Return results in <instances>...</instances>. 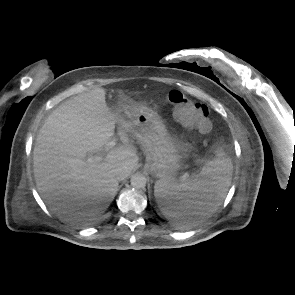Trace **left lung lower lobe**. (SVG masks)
<instances>
[{"instance_id": "left-lung-lower-lobe-1", "label": "left lung lower lobe", "mask_w": 295, "mask_h": 295, "mask_svg": "<svg viewBox=\"0 0 295 295\" xmlns=\"http://www.w3.org/2000/svg\"><path fill=\"white\" fill-rule=\"evenodd\" d=\"M192 212L195 213V214H200L202 211H200V210L197 208V209H194Z\"/></svg>"}]
</instances>
